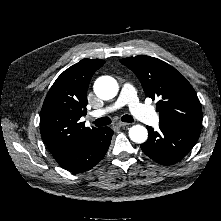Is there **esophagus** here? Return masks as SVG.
<instances>
[{
    "instance_id": "1",
    "label": "esophagus",
    "mask_w": 221,
    "mask_h": 221,
    "mask_svg": "<svg viewBox=\"0 0 221 221\" xmlns=\"http://www.w3.org/2000/svg\"><path fill=\"white\" fill-rule=\"evenodd\" d=\"M118 127H128L130 125V123H126V122H118L116 124Z\"/></svg>"
}]
</instances>
